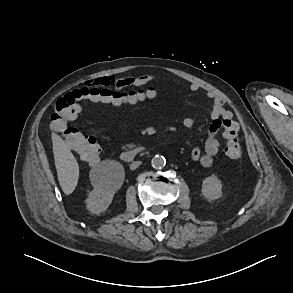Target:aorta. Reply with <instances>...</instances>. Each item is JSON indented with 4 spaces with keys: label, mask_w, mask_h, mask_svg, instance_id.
<instances>
[{
    "label": "aorta",
    "mask_w": 293,
    "mask_h": 293,
    "mask_svg": "<svg viewBox=\"0 0 293 293\" xmlns=\"http://www.w3.org/2000/svg\"><path fill=\"white\" fill-rule=\"evenodd\" d=\"M151 164H152V167L153 168H155V169H161V168H163L165 166L166 159L164 158V156L155 155L152 158Z\"/></svg>",
    "instance_id": "762f6f07"
}]
</instances>
